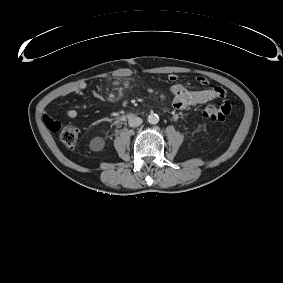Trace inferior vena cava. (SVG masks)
<instances>
[{
    "label": "inferior vena cava",
    "instance_id": "inferior-vena-cava-1",
    "mask_svg": "<svg viewBox=\"0 0 283 283\" xmlns=\"http://www.w3.org/2000/svg\"><path fill=\"white\" fill-rule=\"evenodd\" d=\"M142 122L143 120L137 116L131 117L128 121L130 127H138L142 124Z\"/></svg>",
    "mask_w": 283,
    "mask_h": 283
}]
</instances>
